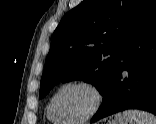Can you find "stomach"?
I'll return each instance as SVG.
<instances>
[{"label": "stomach", "mask_w": 156, "mask_h": 124, "mask_svg": "<svg viewBox=\"0 0 156 124\" xmlns=\"http://www.w3.org/2000/svg\"><path fill=\"white\" fill-rule=\"evenodd\" d=\"M107 124H130L122 115H116L113 120L107 121Z\"/></svg>", "instance_id": "stomach-1"}]
</instances>
